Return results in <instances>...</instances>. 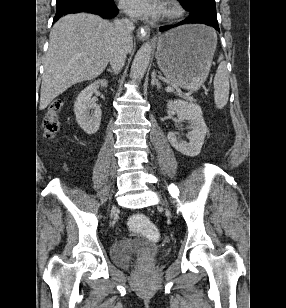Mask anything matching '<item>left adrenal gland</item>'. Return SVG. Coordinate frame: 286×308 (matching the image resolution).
<instances>
[{"label": "left adrenal gland", "mask_w": 286, "mask_h": 308, "mask_svg": "<svg viewBox=\"0 0 286 308\" xmlns=\"http://www.w3.org/2000/svg\"><path fill=\"white\" fill-rule=\"evenodd\" d=\"M151 86L152 87L156 86L157 90H159L160 87H161L159 80L156 78V72L155 71H153V73H152Z\"/></svg>", "instance_id": "1"}]
</instances>
